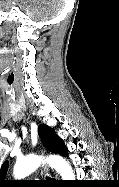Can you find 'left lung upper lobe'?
<instances>
[{
    "label": "left lung upper lobe",
    "mask_w": 119,
    "mask_h": 187,
    "mask_svg": "<svg viewBox=\"0 0 119 187\" xmlns=\"http://www.w3.org/2000/svg\"><path fill=\"white\" fill-rule=\"evenodd\" d=\"M39 134L42 139L44 146L51 152L65 156L67 154V149L56 133L46 125L39 126ZM8 162H5L0 170V187H5L7 184H12V181L4 180L5 174L7 172Z\"/></svg>",
    "instance_id": "1"
}]
</instances>
